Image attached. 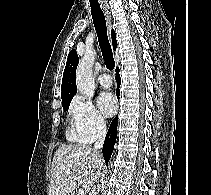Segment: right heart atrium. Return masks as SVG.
Segmentation results:
<instances>
[{
	"label": "right heart atrium",
	"mask_w": 211,
	"mask_h": 195,
	"mask_svg": "<svg viewBox=\"0 0 211 195\" xmlns=\"http://www.w3.org/2000/svg\"><path fill=\"white\" fill-rule=\"evenodd\" d=\"M71 137L82 143H91L106 131V121L92 101L76 96L69 109Z\"/></svg>",
	"instance_id": "right-heart-atrium-1"
}]
</instances>
